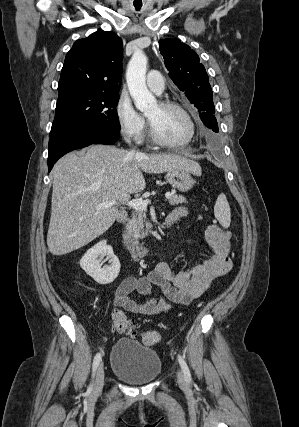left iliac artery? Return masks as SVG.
<instances>
[{"instance_id":"left-iliac-artery-1","label":"left iliac artery","mask_w":299,"mask_h":427,"mask_svg":"<svg viewBox=\"0 0 299 427\" xmlns=\"http://www.w3.org/2000/svg\"><path fill=\"white\" fill-rule=\"evenodd\" d=\"M178 361H179V364H180V366H181V369H182V371H183V373H184V377H185V379H186L187 381H188V380H191L190 370H189V368H188V366H187L186 362L184 361V359H183L180 355H178Z\"/></svg>"}]
</instances>
